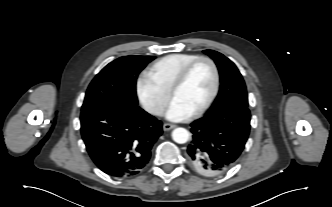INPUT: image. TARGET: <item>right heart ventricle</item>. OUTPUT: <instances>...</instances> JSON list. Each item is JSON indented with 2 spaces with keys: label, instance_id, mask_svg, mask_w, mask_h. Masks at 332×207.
<instances>
[{
  "label": "right heart ventricle",
  "instance_id": "right-heart-ventricle-1",
  "mask_svg": "<svg viewBox=\"0 0 332 207\" xmlns=\"http://www.w3.org/2000/svg\"><path fill=\"white\" fill-rule=\"evenodd\" d=\"M199 57L191 53H174L166 55L153 63L147 75L161 88L170 92V88L182 68Z\"/></svg>",
  "mask_w": 332,
  "mask_h": 207
}]
</instances>
